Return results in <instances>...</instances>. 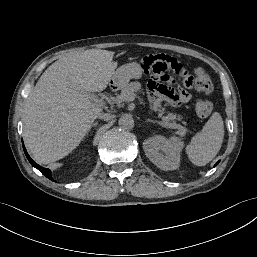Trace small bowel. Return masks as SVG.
I'll list each match as a JSON object with an SVG mask.
<instances>
[{
    "mask_svg": "<svg viewBox=\"0 0 257 257\" xmlns=\"http://www.w3.org/2000/svg\"><path fill=\"white\" fill-rule=\"evenodd\" d=\"M142 69L151 73L145 81V88L154 106L164 101L179 107L190 101L191 95L188 92L194 89L195 84L182 61L167 53L156 52L144 58Z\"/></svg>",
    "mask_w": 257,
    "mask_h": 257,
    "instance_id": "1",
    "label": "small bowel"
}]
</instances>
